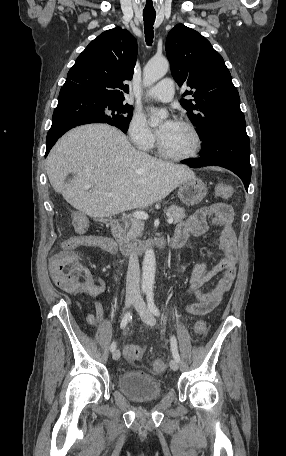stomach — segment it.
I'll list each match as a JSON object with an SVG mask.
<instances>
[{
  "mask_svg": "<svg viewBox=\"0 0 286 456\" xmlns=\"http://www.w3.org/2000/svg\"><path fill=\"white\" fill-rule=\"evenodd\" d=\"M207 194L205 183L198 178L188 180L180 185L178 197L187 206L199 204Z\"/></svg>",
  "mask_w": 286,
  "mask_h": 456,
  "instance_id": "0dacf381",
  "label": "stomach"
}]
</instances>
